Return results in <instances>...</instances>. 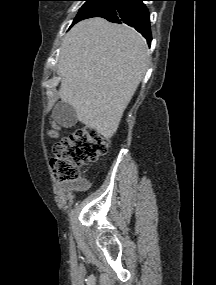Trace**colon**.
Here are the masks:
<instances>
[{
    "label": "colon",
    "mask_w": 216,
    "mask_h": 285,
    "mask_svg": "<svg viewBox=\"0 0 216 285\" xmlns=\"http://www.w3.org/2000/svg\"><path fill=\"white\" fill-rule=\"evenodd\" d=\"M108 148L109 140L95 129L80 128L56 142L51 165L60 181L75 182L80 178L81 167L97 161Z\"/></svg>",
    "instance_id": "1"
}]
</instances>
